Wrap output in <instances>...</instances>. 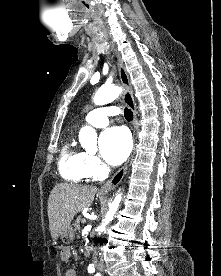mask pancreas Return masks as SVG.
Wrapping results in <instances>:
<instances>
[{"label":"pancreas","mask_w":221,"mask_h":276,"mask_svg":"<svg viewBox=\"0 0 221 276\" xmlns=\"http://www.w3.org/2000/svg\"><path fill=\"white\" fill-rule=\"evenodd\" d=\"M80 221H82V217L78 216L75 223H74V228L75 230H79L80 229Z\"/></svg>","instance_id":"cf45deb5"}]
</instances>
